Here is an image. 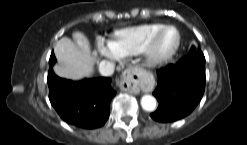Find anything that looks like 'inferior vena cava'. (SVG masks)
<instances>
[{
  "mask_svg": "<svg viewBox=\"0 0 247 145\" xmlns=\"http://www.w3.org/2000/svg\"><path fill=\"white\" fill-rule=\"evenodd\" d=\"M114 70L115 65L110 61H101L99 64V72L102 76H111Z\"/></svg>",
  "mask_w": 247,
  "mask_h": 145,
  "instance_id": "602c4592",
  "label": "inferior vena cava"
}]
</instances>
